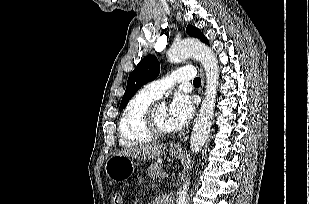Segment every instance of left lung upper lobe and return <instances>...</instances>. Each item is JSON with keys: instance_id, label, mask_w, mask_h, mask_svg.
I'll return each mask as SVG.
<instances>
[{"instance_id": "5c2ea615", "label": "left lung upper lobe", "mask_w": 309, "mask_h": 204, "mask_svg": "<svg viewBox=\"0 0 309 204\" xmlns=\"http://www.w3.org/2000/svg\"><path fill=\"white\" fill-rule=\"evenodd\" d=\"M186 32L189 36L196 37L205 44H209L207 38L198 28L188 25L186 27ZM159 72L160 64L154 55H148L142 59L128 78L126 91L123 95L120 107L124 108L136 91L147 82L157 78Z\"/></svg>"}]
</instances>
